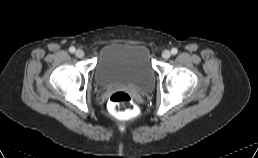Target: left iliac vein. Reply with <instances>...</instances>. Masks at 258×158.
I'll list each match as a JSON object with an SVG mask.
<instances>
[{
  "mask_svg": "<svg viewBox=\"0 0 258 158\" xmlns=\"http://www.w3.org/2000/svg\"><path fill=\"white\" fill-rule=\"evenodd\" d=\"M170 56H171V53H170L169 50H164V51L162 52V57H163L164 59H169Z\"/></svg>",
  "mask_w": 258,
  "mask_h": 158,
  "instance_id": "4c4485c4",
  "label": "left iliac vein"
}]
</instances>
